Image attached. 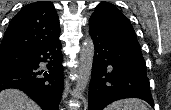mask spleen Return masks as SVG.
<instances>
[{"label":"spleen","mask_w":171,"mask_h":110,"mask_svg":"<svg viewBox=\"0 0 171 110\" xmlns=\"http://www.w3.org/2000/svg\"><path fill=\"white\" fill-rule=\"evenodd\" d=\"M106 110H148V107L140 99L128 98L113 102Z\"/></svg>","instance_id":"spleen-1"}]
</instances>
